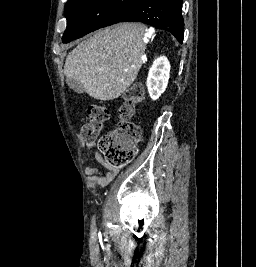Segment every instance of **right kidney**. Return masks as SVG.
<instances>
[{"label":"right kidney","mask_w":256,"mask_h":267,"mask_svg":"<svg viewBox=\"0 0 256 267\" xmlns=\"http://www.w3.org/2000/svg\"><path fill=\"white\" fill-rule=\"evenodd\" d=\"M170 64L165 56L154 60L148 74L146 86L152 100H158L165 92L170 76Z\"/></svg>","instance_id":"right-kidney-1"}]
</instances>
